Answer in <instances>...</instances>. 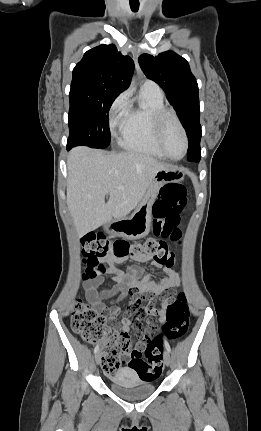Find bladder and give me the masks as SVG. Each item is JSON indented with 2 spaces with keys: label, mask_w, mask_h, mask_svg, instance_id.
Segmentation results:
<instances>
[{
  "label": "bladder",
  "mask_w": 261,
  "mask_h": 431,
  "mask_svg": "<svg viewBox=\"0 0 261 431\" xmlns=\"http://www.w3.org/2000/svg\"><path fill=\"white\" fill-rule=\"evenodd\" d=\"M110 387L117 395L127 399H140L155 390L152 380L141 378L130 368H122L110 377Z\"/></svg>",
  "instance_id": "bladder-1"
}]
</instances>
